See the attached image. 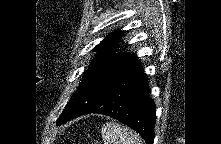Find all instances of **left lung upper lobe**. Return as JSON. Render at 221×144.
Returning a JSON list of instances; mask_svg holds the SVG:
<instances>
[{
	"instance_id": "obj_1",
	"label": "left lung upper lobe",
	"mask_w": 221,
	"mask_h": 144,
	"mask_svg": "<svg viewBox=\"0 0 221 144\" xmlns=\"http://www.w3.org/2000/svg\"><path fill=\"white\" fill-rule=\"evenodd\" d=\"M123 34L124 31L117 30L97 45V55L92 60L76 95L63 110L57 125L76 118L91 108L117 78L138 59L136 55L130 53L116 54V47L120 43L119 38Z\"/></svg>"
}]
</instances>
